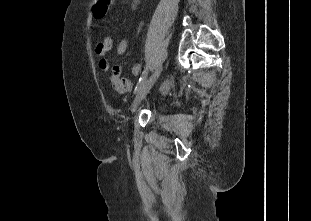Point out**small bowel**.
Here are the masks:
<instances>
[{
    "mask_svg": "<svg viewBox=\"0 0 311 221\" xmlns=\"http://www.w3.org/2000/svg\"><path fill=\"white\" fill-rule=\"evenodd\" d=\"M131 4H132V7L133 8H136L138 3H139V0H131L130 1ZM97 46H112L113 48V39L111 36L109 35H105L102 40L97 44ZM128 48V41L126 38H121L118 42V45L116 47V56L117 57H120L122 56L126 50ZM100 59H99V68L102 70V71H109L110 69V64H109V60L106 58V54L107 53H96ZM140 72V66L138 63H133L132 64V73L134 75H138ZM132 82L130 80H128V83H127V86L124 87V88H119L118 91L122 92V93H126V92H129L131 89H132Z\"/></svg>",
    "mask_w": 311,
    "mask_h": 221,
    "instance_id": "c3829d8e",
    "label": "small bowel"
}]
</instances>
